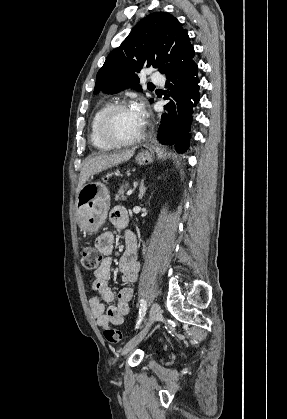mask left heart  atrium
I'll return each mask as SVG.
<instances>
[{"instance_id":"left-heart-atrium-1","label":"left heart atrium","mask_w":287,"mask_h":419,"mask_svg":"<svg viewBox=\"0 0 287 419\" xmlns=\"http://www.w3.org/2000/svg\"><path fill=\"white\" fill-rule=\"evenodd\" d=\"M134 113L136 114V116L142 121L144 122V118H145V109L142 103L137 102L135 103L134 107L132 108Z\"/></svg>"}]
</instances>
